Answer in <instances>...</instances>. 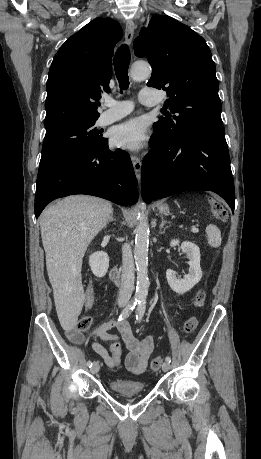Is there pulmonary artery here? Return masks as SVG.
Here are the masks:
<instances>
[{
	"label": "pulmonary artery",
	"mask_w": 261,
	"mask_h": 459,
	"mask_svg": "<svg viewBox=\"0 0 261 459\" xmlns=\"http://www.w3.org/2000/svg\"><path fill=\"white\" fill-rule=\"evenodd\" d=\"M140 102L145 105H156L159 102L157 94L150 88H143L140 91ZM104 106L107 107L99 117L98 123L101 126L111 124L115 121L128 115L133 109V103L129 100L118 101L114 99H106Z\"/></svg>",
	"instance_id": "1"
}]
</instances>
